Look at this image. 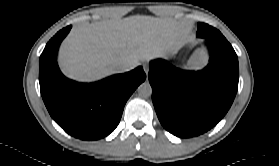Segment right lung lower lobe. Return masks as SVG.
Instances as JSON below:
<instances>
[{
  "label": "right lung lower lobe",
  "mask_w": 279,
  "mask_h": 166,
  "mask_svg": "<svg viewBox=\"0 0 279 166\" xmlns=\"http://www.w3.org/2000/svg\"><path fill=\"white\" fill-rule=\"evenodd\" d=\"M71 26L60 30L40 56L39 83L51 117L70 135L97 140L118 125L124 106L145 78L142 67L102 81L82 84L67 79L57 64V51Z\"/></svg>",
  "instance_id": "right-lung-lower-lobe-1"
}]
</instances>
